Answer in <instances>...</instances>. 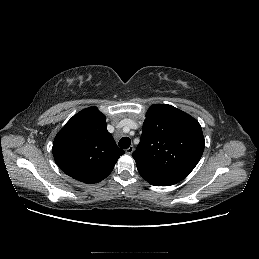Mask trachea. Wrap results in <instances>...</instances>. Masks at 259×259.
<instances>
[{
    "label": "trachea",
    "instance_id": "1",
    "mask_svg": "<svg viewBox=\"0 0 259 259\" xmlns=\"http://www.w3.org/2000/svg\"><path fill=\"white\" fill-rule=\"evenodd\" d=\"M131 145V140L128 137H123L119 141V147L122 149H127Z\"/></svg>",
    "mask_w": 259,
    "mask_h": 259
}]
</instances>
